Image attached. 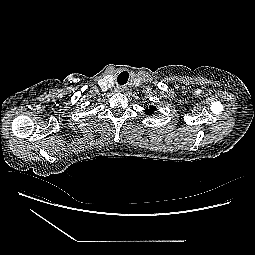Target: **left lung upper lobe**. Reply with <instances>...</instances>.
<instances>
[{
  "label": "left lung upper lobe",
  "instance_id": "left-lung-upper-lobe-1",
  "mask_svg": "<svg viewBox=\"0 0 255 255\" xmlns=\"http://www.w3.org/2000/svg\"><path fill=\"white\" fill-rule=\"evenodd\" d=\"M154 111H156V108L154 106H149V108L145 110V114L152 115Z\"/></svg>",
  "mask_w": 255,
  "mask_h": 255
}]
</instances>
